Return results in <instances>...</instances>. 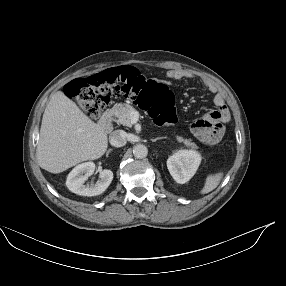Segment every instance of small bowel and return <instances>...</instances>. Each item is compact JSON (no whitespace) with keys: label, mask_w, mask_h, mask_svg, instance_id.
Instances as JSON below:
<instances>
[{"label":"small bowel","mask_w":286,"mask_h":286,"mask_svg":"<svg viewBox=\"0 0 286 286\" xmlns=\"http://www.w3.org/2000/svg\"><path fill=\"white\" fill-rule=\"evenodd\" d=\"M166 77L169 80L177 81L181 79H193L195 78V74L189 70L170 69L167 71ZM205 87L213 95V103L217 107V109L212 110V112L218 113L223 122L228 121L230 114L223 96L217 91V88L213 84L205 82Z\"/></svg>","instance_id":"small-bowel-1"}]
</instances>
